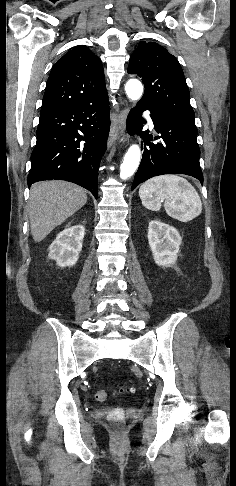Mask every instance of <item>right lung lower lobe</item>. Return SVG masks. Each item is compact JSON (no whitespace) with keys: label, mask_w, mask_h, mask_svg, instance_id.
<instances>
[{"label":"right lung lower lobe","mask_w":236,"mask_h":486,"mask_svg":"<svg viewBox=\"0 0 236 486\" xmlns=\"http://www.w3.org/2000/svg\"><path fill=\"white\" fill-rule=\"evenodd\" d=\"M108 99L40 115L31 155L28 186L43 180H65L97 198L98 168L110 130Z\"/></svg>","instance_id":"1"}]
</instances>
